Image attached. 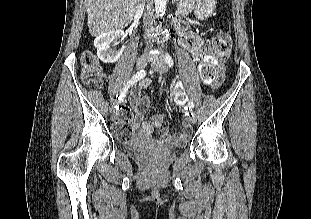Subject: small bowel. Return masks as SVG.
Segmentation results:
<instances>
[{
	"label": "small bowel",
	"mask_w": 311,
	"mask_h": 219,
	"mask_svg": "<svg viewBox=\"0 0 311 219\" xmlns=\"http://www.w3.org/2000/svg\"><path fill=\"white\" fill-rule=\"evenodd\" d=\"M181 45L184 49L190 51L194 58L200 55V40L197 36H189L181 40ZM213 89H217L222 84V77L217 75L212 81L209 82ZM149 85V80L145 79L140 82L138 88H133L129 95L130 107L125 109L119 120V134L129 137L138 132L143 138L151 137L156 129H165V123L169 118L168 114H157L151 116L148 120H144V113L150 105V98L148 96H141L140 89L146 88ZM184 93L181 91V86L177 85L175 99L183 101L185 99ZM185 109V108H184ZM190 135L187 123L183 133L174 136L165 135L168 140H175L177 142H184Z\"/></svg>",
	"instance_id": "obj_1"
}]
</instances>
